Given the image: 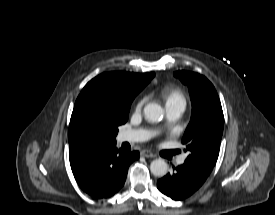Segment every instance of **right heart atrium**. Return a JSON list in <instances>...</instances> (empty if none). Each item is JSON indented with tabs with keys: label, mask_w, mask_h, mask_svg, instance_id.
<instances>
[{
	"label": "right heart atrium",
	"mask_w": 275,
	"mask_h": 215,
	"mask_svg": "<svg viewBox=\"0 0 275 215\" xmlns=\"http://www.w3.org/2000/svg\"><path fill=\"white\" fill-rule=\"evenodd\" d=\"M145 102H146V97H142L136 104V110L137 111L141 110Z\"/></svg>",
	"instance_id": "d8ad5b80"
}]
</instances>
